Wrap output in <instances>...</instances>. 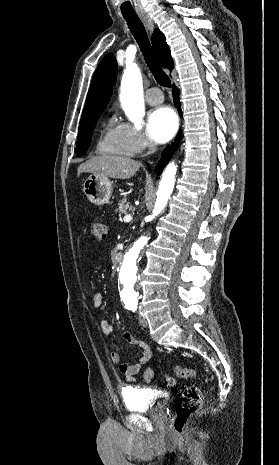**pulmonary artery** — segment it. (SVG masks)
<instances>
[{
    "mask_svg": "<svg viewBox=\"0 0 279 465\" xmlns=\"http://www.w3.org/2000/svg\"><path fill=\"white\" fill-rule=\"evenodd\" d=\"M145 99L149 104L157 105L163 102V95L158 88L153 87L147 90Z\"/></svg>",
    "mask_w": 279,
    "mask_h": 465,
    "instance_id": "1",
    "label": "pulmonary artery"
}]
</instances>
